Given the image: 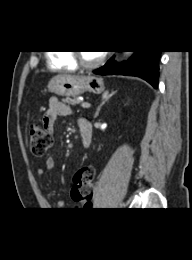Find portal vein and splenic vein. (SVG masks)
<instances>
[{"label": "portal vein and splenic vein", "mask_w": 192, "mask_h": 260, "mask_svg": "<svg viewBox=\"0 0 192 260\" xmlns=\"http://www.w3.org/2000/svg\"><path fill=\"white\" fill-rule=\"evenodd\" d=\"M81 106H82L83 108H89L91 105H90L89 103H87V102H82V103H81Z\"/></svg>", "instance_id": "18ae733b"}]
</instances>
